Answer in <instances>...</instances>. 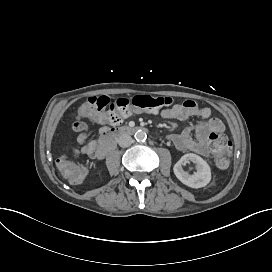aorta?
Segmentation results:
<instances>
[{
  "label": "aorta",
  "instance_id": "aorta-1",
  "mask_svg": "<svg viewBox=\"0 0 272 272\" xmlns=\"http://www.w3.org/2000/svg\"><path fill=\"white\" fill-rule=\"evenodd\" d=\"M136 141H144L147 138V134L143 130H137L134 134Z\"/></svg>",
  "mask_w": 272,
  "mask_h": 272
}]
</instances>
